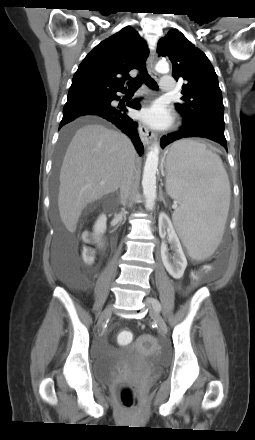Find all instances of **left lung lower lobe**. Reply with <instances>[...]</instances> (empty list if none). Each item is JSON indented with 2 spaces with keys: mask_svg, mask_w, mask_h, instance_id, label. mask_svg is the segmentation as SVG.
<instances>
[{
  "mask_svg": "<svg viewBox=\"0 0 255 440\" xmlns=\"http://www.w3.org/2000/svg\"><path fill=\"white\" fill-rule=\"evenodd\" d=\"M187 137L208 138L222 145L227 151V142L224 136V125L214 121H201L198 123H189L184 121L180 130L163 136L161 146L164 148L168 144Z\"/></svg>",
  "mask_w": 255,
  "mask_h": 440,
  "instance_id": "0a47b994",
  "label": "left lung lower lobe"
}]
</instances>
